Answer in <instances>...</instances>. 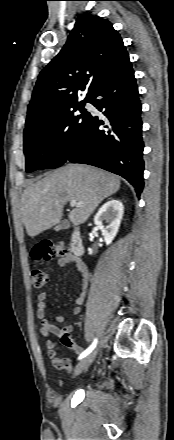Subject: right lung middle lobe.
I'll return each instance as SVG.
<instances>
[{
  "instance_id": "dd1d6c3e",
  "label": "right lung middle lobe",
  "mask_w": 174,
  "mask_h": 440,
  "mask_svg": "<svg viewBox=\"0 0 174 440\" xmlns=\"http://www.w3.org/2000/svg\"><path fill=\"white\" fill-rule=\"evenodd\" d=\"M82 101L24 132L26 171L56 168L65 163L73 144L82 135L89 112ZM76 110L81 113L77 115Z\"/></svg>"
}]
</instances>
